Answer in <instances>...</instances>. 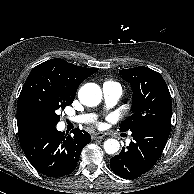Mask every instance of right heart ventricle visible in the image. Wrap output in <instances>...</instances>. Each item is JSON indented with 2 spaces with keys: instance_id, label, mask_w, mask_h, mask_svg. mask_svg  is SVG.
<instances>
[{
  "instance_id": "obj_1",
  "label": "right heart ventricle",
  "mask_w": 194,
  "mask_h": 194,
  "mask_svg": "<svg viewBox=\"0 0 194 194\" xmlns=\"http://www.w3.org/2000/svg\"><path fill=\"white\" fill-rule=\"evenodd\" d=\"M105 83H107V84H113V85L119 86L117 83H115V82H113V81H106Z\"/></svg>"
}]
</instances>
